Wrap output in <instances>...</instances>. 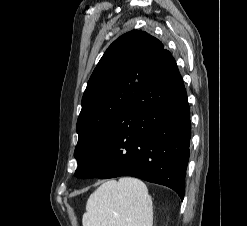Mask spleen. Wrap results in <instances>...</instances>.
<instances>
[{"label": "spleen", "mask_w": 247, "mask_h": 226, "mask_svg": "<svg viewBox=\"0 0 247 226\" xmlns=\"http://www.w3.org/2000/svg\"><path fill=\"white\" fill-rule=\"evenodd\" d=\"M152 198L139 179L103 183L87 201L83 226H152Z\"/></svg>", "instance_id": "obj_1"}]
</instances>
